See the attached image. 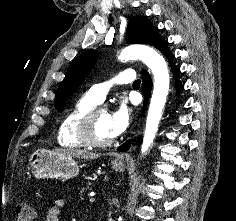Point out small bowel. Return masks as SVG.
<instances>
[{
	"instance_id": "1",
	"label": "small bowel",
	"mask_w": 236,
	"mask_h": 221,
	"mask_svg": "<svg viewBox=\"0 0 236 221\" xmlns=\"http://www.w3.org/2000/svg\"><path fill=\"white\" fill-rule=\"evenodd\" d=\"M62 205V201H59L57 205L48 209L45 213V221H59Z\"/></svg>"
}]
</instances>
